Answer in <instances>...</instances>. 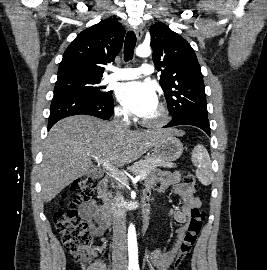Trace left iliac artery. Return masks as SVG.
<instances>
[{
  "instance_id": "obj_1",
  "label": "left iliac artery",
  "mask_w": 267,
  "mask_h": 270,
  "mask_svg": "<svg viewBox=\"0 0 267 270\" xmlns=\"http://www.w3.org/2000/svg\"><path fill=\"white\" fill-rule=\"evenodd\" d=\"M133 270H140L139 265L138 264L134 265Z\"/></svg>"
}]
</instances>
